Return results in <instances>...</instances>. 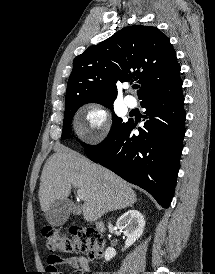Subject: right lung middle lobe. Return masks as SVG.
Here are the masks:
<instances>
[{"label":"right lung middle lobe","instance_id":"1","mask_svg":"<svg viewBox=\"0 0 215 274\" xmlns=\"http://www.w3.org/2000/svg\"><path fill=\"white\" fill-rule=\"evenodd\" d=\"M86 103H88V102H81V103L65 106V116H64V121H63L62 138L69 137V135H70L69 129H70L71 119L73 118L77 109ZM112 103L113 102H102L100 104L112 109ZM124 124L125 123L122 122V119L118 118L116 115L113 114V125H112V128H111L108 136H110L112 133L117 131ZM82 145L86 148L91 147L90 145H87L85 143H82Z\"/></svg>","mask_w":215,"mask_h":274}]
</instances>
